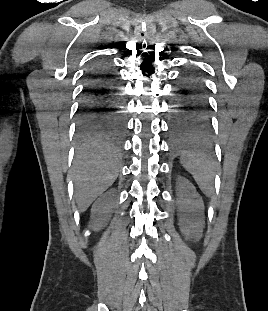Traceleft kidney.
<instances>
[{"mask_svg":"<svg viewBox=\"0 0 268 311\" xmlns=\"http://www.w3.org/2000/svg\"><path fill=\"white\" fill-rule=\"evenodd\" d=\"M177 189L182 197V209L188 213L180 221L181 231L188 238H200L203 227V222L200 219L203 201L196 193L194 186L183 177H178Z\"/></svg>","mask_w":268,"mask_h":311,"instance_id":"obj_1","label":"left kidney"}]
</instances>
